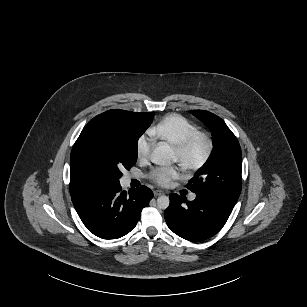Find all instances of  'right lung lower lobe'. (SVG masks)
Masks as SVG:
<instances>
[{"label":"right lung lower lobe","instance_id":"1","mask_svg":"<svg viewBox=\"0 0 307 307\" xmlns=\"http://www.w3.org/2000/svg\"><path fill=\"white\" fill-rule=\"evenodd\" d=\"M152 197L146 186L127 194L121 191L120 184L114 183L91 185L71 196L84 225L103 239H117L129 233Z\"/></svg>","mask_w":307,"mask_h":307}]
</instances>
